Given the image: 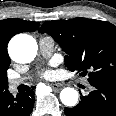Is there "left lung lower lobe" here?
<instances>
[{
	"label": "left lung lower lobe",
	"mask_w": 116,
	"mask_h": 116,
	"mask_svg": "<svg viewBox=\"0 0 116 116\" xmlns=\"http://www.w3.org/2000/svg\"><path fill=\"white\" fill-rule=\"evenodd\" d=\"M95 89L83 96L73 108H65L66 116H116V82L91 84Z\"/></svg>",
	"instance_id": "0a47b994"
}]
</instances>
